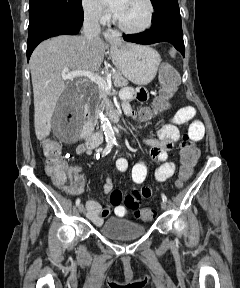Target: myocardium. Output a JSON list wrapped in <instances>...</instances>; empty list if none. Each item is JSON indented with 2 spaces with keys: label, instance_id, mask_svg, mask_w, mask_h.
<instances>
[{
  "label": "myocardium",
  "instance_id": "myocardium-1",
  "mask_svg": "<svg viewBox=\"0 0 240 288\" xmlns=\"http://www.w3.org/2000/svg\"><path fill=\"white\" fill-rule=\"evenodd\" d=\"M146 4L148 5V9H149V16H148V20L146 22V24L142 27L139 28H130L128 26H126L118 17L116 18V23L117 26L124 32L126 33H131V34H138V33H143L147 30H149L152 25H153V21H154V15H155V7L154 4L152 2V0H145Z\"/></svg>",
  "mask_w": 240,
  "mask_h": 288
}]
</instances>
